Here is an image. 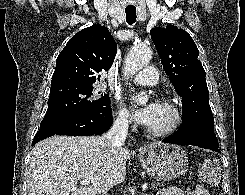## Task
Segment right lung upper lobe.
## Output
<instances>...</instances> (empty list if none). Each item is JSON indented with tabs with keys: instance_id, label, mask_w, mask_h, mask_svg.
Masks as SVG:
<instances>
[{
	"instance_id": "obj_1",
	"label": "right lung upper lobe",
	"mask_w": 245,
	"mask_h": 195,
	"mask_svg": "<svg viewBox=\"0 0 245 195\" xmlns=\"http://www.w3.org/2000/svg\"><path fill=\"white\" fill-rule=\"evenodd\" d=\"M117 53V44L101 25H92L76 33L57 57L51 92L93 86L101 71H108Z\"/></svg>"
}]
</instances>
